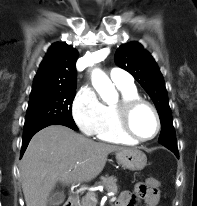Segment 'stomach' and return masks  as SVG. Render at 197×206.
I'll list each match as a JSON object with an SVG mask.
<instances>
[{
    "mask_svg": "<svg viewBox=\"0 0 197 206\" xmlns=\"http://www.w3.org/2000/svg\"><path fill=\"white\" fill-rule=\"evenodd\" d=\"M116 159L123 168L138 171L147 165L146 155L138 149H125L116 152Z\"/></svg>",
    "mask_w": 197,
    "mask_h": 206,
    "instance_id": "obj_1",
    "label": "stomach"
}]
</instances>
